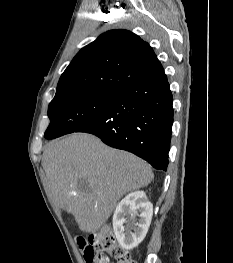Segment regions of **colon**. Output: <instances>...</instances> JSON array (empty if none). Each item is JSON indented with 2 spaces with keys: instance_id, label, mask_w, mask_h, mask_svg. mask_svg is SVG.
<instances>
[{
  "instance_id": "1",
  "label": "colon",
  "mask_w": 233,
  "mask_h": 263,
  "mask_svg": "<svg viewBox=\"0 0 233 263\" xmlns=\"http://www.w3.org/2000/svg\"><path fill=\"white\" fill-rule=\"evenodd\" d=\"M86 263H108L109 258L116 263H136L131 253L121 247L114 232L109 228L92 234L88 241L79 240Z\"/></svg>"
}]
</instances>
